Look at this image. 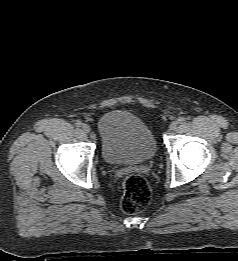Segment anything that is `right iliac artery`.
I'll list each match as a JSON object with an SVG mask.
<instances>
[{"label": "right iliac artery", "mask_w": 238, "mask_h": 261, "mask_svg": "<svg viewBox=\"0 0 238 261\" xmlns=\"http://www.w3.org/2000/svg\"><path fill=\"white\" fill-rule=\"evenodd\" d=\"M75 125H76V127H81L82 122L80 120H76Z\"/></svg>", "instance_id": "right-iliac-artery-1"}]
</instances>
